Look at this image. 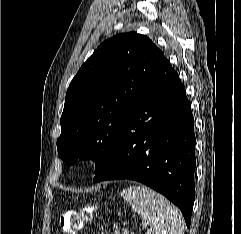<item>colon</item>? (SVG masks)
Here are the masks:
<instances>
[{"mask_svg":"<svg viewBox=\"0 0 241 234\" xmlns=\"http://www.w3.org/2000/svg\"><path fill=\"white\" fill-rule=\"evenodd\" d=\"M91 216V211L82 213L67 212L60 219V228L64 234H75Z\"/></svg>","mask_w":241,"mask_h":234,"instance_id":"colon-1","label":"colon"}]
</instances>
